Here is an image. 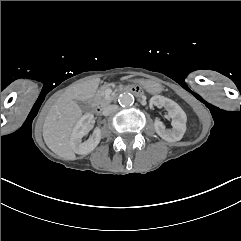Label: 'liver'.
<instances>
[{"label": "liver", "instance_id": "liver-1", "mask_svg": "<svg viewBox=\"0 0 241 241\" xmlns=\"http://www.w3.org/2000/svg\"><path fill=\"white\" fill-rule=\"evenodd\" d=\"M99 82L100 78L79 82L66 90L51 106L43 124V138L48 148L58 156L68 160L75 159L70 135L74 124L82 115L77 101L93 97Z\"/></svg>", "mask_w": 241, "mask_h": 241}]
</instances>
